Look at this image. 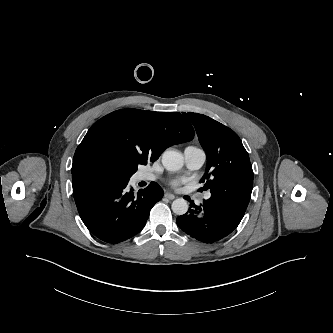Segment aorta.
<instances>
[{"mask_svg": "<svg viewBox=\"0 0 333 333\" xmlns=\"http://www.w3.org/2000/svg\"><path fill=\"white\" fill-rule=\"evenodd\" d=\"M162 164L168 171H178L183 166V156L176 150H167L162 155ZM171 206L176 215H184L188 211V203L183 198L175 199Z\"/></svg>", "mask_w": 333, "mask_h": 333, "instance_id": "obj_1", "label": "aorta"}]
</instances>
